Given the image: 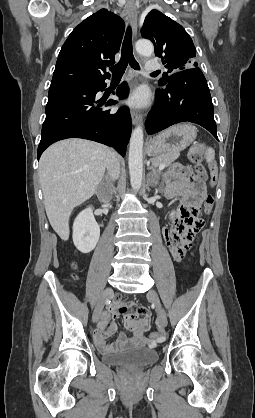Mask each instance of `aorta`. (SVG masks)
Listing matches in <instances>:
<instances>
[{
    "instance_id": "obj_1",
    "label": "aorta",
    "mask_w": 255,
    "mask_h": 418,
    "mask_svg": "<svg viewBox=\"0 0 255 418\" xmlns=\"http://www.w3.org/2000/svg\"><path fill=\"white\" fill-rule=\"evenodd\" d=\"M136 50L143 56H150L154 47L149 40H139L136 43ZM128 165L131 187L134 190H139L142 185L143 173V128L141 125L133 130L130 138Z\"/></svg>"
}]
</instances>
